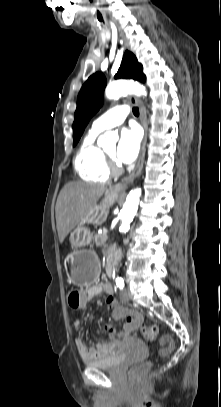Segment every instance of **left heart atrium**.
<instances>
[{
  "mask_svg": "<svg viewBox=\"0 0 221 407\" xmlns=\"http://www.w3.org/2000/svg\"><path fill=\"white\" fill-rule=\"evenodd\" d=\"M141 135L136 128H125L120 133L116 158L122 164L132 163L138 156Z\"/></svg>",
  "mask_w": 221,
  "mask_h": 407,
  "instance_id": "1",
  "label": "left heart atrium"
}]
</instances>
